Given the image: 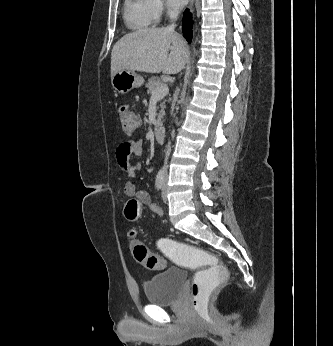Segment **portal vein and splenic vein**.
Returning a JSON list of instances; mask_svg holds the SVG:
<instances>
[{
  "label": "portal vein and splenic vein",
  "instance_id": "18ae733b",
  "mask_svg": "<svg viewBox=\"0 0 333 346\" xmlns=\"http://www.w3.org/2000/svg\"><path fill=\"white\" fill-rule=\"evenodd\" d=\"M168 92H169L168 87H167L166 85H164V86L158 88L157 90H155V91L152 93L151 98H152L153 100H159V99L165 97V96L168 94Z\"/></svg>",
  "mask_w": 333,
  "mask_h": 346
}]
</instances>
